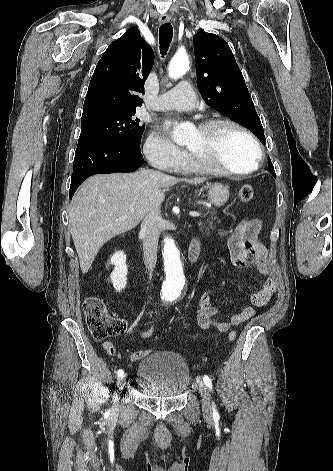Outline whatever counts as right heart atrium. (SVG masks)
Listing matches in <instances>:
<instances>
[{"instance_id":"1","label":"right heart atrium","mask_w":333,"mask_h":471,"mask_svg":"<svg viewBox=\"0 0 333 471\" xmlns=\"http://www.w3.org/2000/svg\"><path fill=\"white\" fill-rule=\"evenodd\" d=\"M144 153L154 167L169 172L179 169L186 161L184 151L156 131L148 136L144 144Z\"/></svg>"}]
</instances>
